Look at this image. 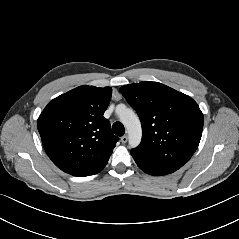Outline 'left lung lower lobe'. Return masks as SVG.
<instances>
[{"label":"left lung lower lobe","instance_id":"0a47b994","mask_svg":"<svg viewBox=\"0 0 239 239\" xmlns=\"http://www.w3.org/2000/svg\"><path fill=\"white\" fill-rule=\"evenodd\" d=\"M137 165L139 166L140 169H142L144 172H146L147 174H150V175H155V176H161V175H165L159 171H156L154 169H151V168H148L142 164H139L137 163Z\"/></svg>","mask_w":239,"mask_h":239}]
</instances>
